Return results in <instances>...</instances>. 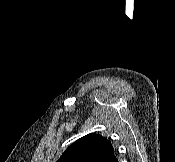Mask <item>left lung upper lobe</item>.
Instances as JSON below:
<instances>
[{"mask_svg":"<svg viewBox=\"0 0 175 162\" xmlns=\"http://www.w3.org/2000/svg\"><path fill=\"white\" fill-rule=\"evenodd\" d=\"M112 153L107 138L91 133L71 144L57 162H106Z\"/></svg>","mask_w":175,"mask_h":162,"instance_id":"obj_1","label":"left lung upper lobe"}]
</instances>
